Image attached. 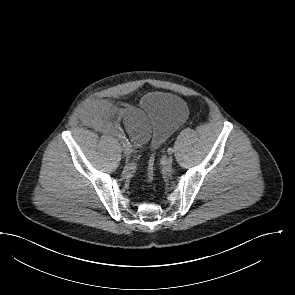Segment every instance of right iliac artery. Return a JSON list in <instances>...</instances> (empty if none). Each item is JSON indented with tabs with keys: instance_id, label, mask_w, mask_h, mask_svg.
Returning <instances> with one entry per match:
<instances>
[{
	"instance_id": "right-iliac-artery-1",
	"label": "right iliac artery",
	"mask_w": 295,
	"mask_h": 295,
	"mask_svg": "<svg viewBox=\"0 0 295 295\" xmlns=\"http://www.w3.org/2000/svg\"><path fill=\"white\" fill-rule=\"evenodd\" d=\"M119 137H120V139L122 140V144H123L124 147H126V148H131V145H130V143L128 142V140L126 139L125 136L121 135V136H119Z\"/></svg>"
}]
</instances>
